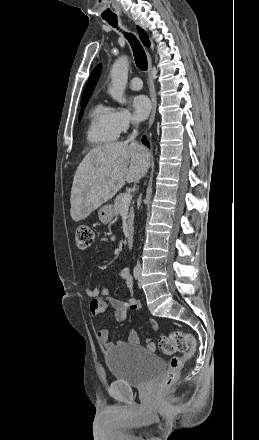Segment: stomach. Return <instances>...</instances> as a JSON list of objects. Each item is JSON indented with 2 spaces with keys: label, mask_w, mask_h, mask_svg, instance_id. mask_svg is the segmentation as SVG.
I'll return each mask as SVG.
<instances>
[{
  "label": "stomach",
  "mask_w": 259,
  "mask_h": 440,
  "mask_svg": "<svg viewBox=\"0 0 259 440\" xmlns=\"http://www.w3.org/2000/svg\"><path fill=\"white\" fill-rule=\"evenodd\" d=\"M114 217V209L110 204L102 206L98 211V218L102 224H108Z\"/></svg>",
  "instance_id": "1"
}]
</instances>
